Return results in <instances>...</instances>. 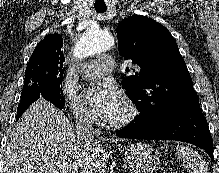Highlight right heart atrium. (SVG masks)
Segmentation results:
<instances>
[{"label":"right heart atrium","mask_w":219,"mask_h":173,"mask_svg":"<svg viewBox=\"0 0 219 173\" xmlns=\"http://www.w3.org/2000/svg\"><path fill=\"white\" fill-rule=\"evenodd\" d=\"M64 101L73 113L74 117L83 123H93L95 115L93 111L85 105L83 100L71 89L64 92Z\"/></svg>","instance_id":"1"}]
</instances>
